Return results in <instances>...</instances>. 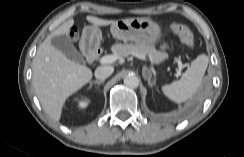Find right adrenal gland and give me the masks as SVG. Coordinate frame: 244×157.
I'll use <instances>...</instances> for the list:
<instances>
[{"label": "right adrenal gland", "mask_w": 244, "mask_h": 157, "mask_svg": "<svg viewBox=\"0 0 244 157\" xmlns=\"http://www.w3.org/2000/svg\"><path fill=\"white\" fill-rule=\"evenodd\" d=\"M102 83H104V80H95V81H93V82L90 83V87H92L93 84H98V85H100V84H102Z\"/></svg>", "instance_id": "2a0ac1e0"}]
</instances>
